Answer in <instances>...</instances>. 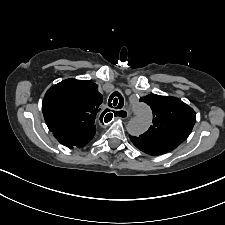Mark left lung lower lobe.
Returning <instances> with one entry per match:
<instances>
[{
    "mask_svg": "<svg viewBox=\"0 0 225 225\" xmlns=\"http://www.w3.org/2000/svg\"><path fill=\"white\" fill-rule=\"evenodd\" d=\"M132 143L141 151L153 156L162 155L175 149L178 144L155 142L141 137L130 136Z\"/></svg>",
    "mask_w": 225,
    "mask_h": 225,
    "instance_id": "left-lung-lower-lobe-1",
    "label": "left lung lower lobe"
}]
</instances>
